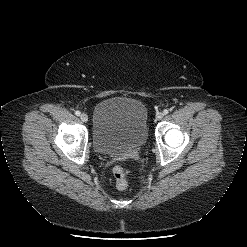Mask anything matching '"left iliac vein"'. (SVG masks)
<instances>
[{
	"mask_svg": "<svg viewBox=\"0 0 247 247\" xmlns=\"http://www.w3.org/2000/svg\"><path fill=\"white\" fill-rule=\"evenodd\" d=\"M163 117H164V114H163L162 112H158V113L156 114V119H157V120H161Z\"/></svg>",
	"mask_w": 247,
	"mask_h": 247,
	"instance_id": "4c4485c4",
	"label": "left iliac vein"
}]
</instances>
